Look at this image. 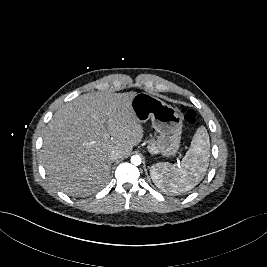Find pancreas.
I'll return each mask as SVG.
<instances>
[{"label": "pancreas", "instance_id": "1", "mask_svg": "<svg viewBox=\"0 0 267 267\" xmlns=\"http://www.w3.org/2000/svg\"><path fill=\"white\" fill-rule=\"evenodd\" d=\"M149 145L147 146L150 153H155L157 151V147L155 146V141L153 139L149 140Z\"/></svg>", "mask_w": 267, "mask_h": 267}]
</instances>
